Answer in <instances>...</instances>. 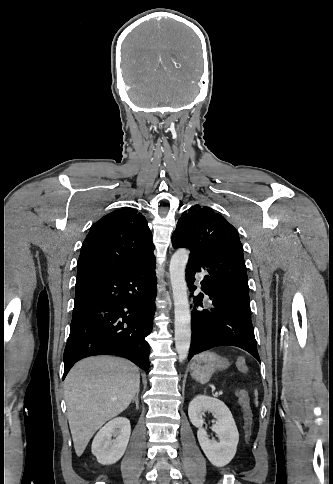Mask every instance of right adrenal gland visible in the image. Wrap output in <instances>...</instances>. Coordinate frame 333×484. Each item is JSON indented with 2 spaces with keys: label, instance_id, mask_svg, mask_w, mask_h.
<instances>
[{
  "label": "right adrenal gland",
  "instance_id": "right-adrenal-gland-1",
  "mask_svg": "<svg viewBox=\"0 0 333 484\" xmlns=\"http://www.w3.org/2000/svg\"><path fill=\"white\" fill-rule=\"evenodd\" d=\"M138 396H139V391L136 393V396L132 399V402H135V404H136V409H139Z\"/></svg>",
  "mask_w": 333,
  "mask_h": 484
}]
</instances>
